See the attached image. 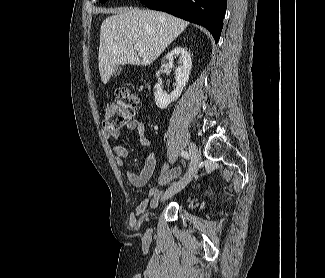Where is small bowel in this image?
Segmentation results:
<instances>
[{"label":"small bowel","mask_w":325,"mask_h":278,"mask_svg":"<svg viewBox=\"0 0 325 278\" xmlns=\"http://www.w3.org/2000/svg\"><path fill=\"white\" fill-rule=\"evenodd\" d=\"M123 129L125 131L131 132L136 131L139 136V142L142 146L148 147L152 143V138L146 134L145 125L144 123L137 118H133L127 124L124 125ZM121 136V130H113V131H106L105 137L111 140H118ZM111 151L114 155V161L117 166L123 167L125 162L129 159V151L126 147L120 144H113L111 147ZM156 168V156L154 153H150L144 163V166L140 173H136L131 169H127L126 175L129 183L134 187H142L150 180ZM182 173L181 167L176 168H169V164L166 161L161 169L159 176H158V183L160 185H165L170 182L173 178L180 176ZM150 198L145 199L140 207L139 210H143L148 205L154 206L158 199L161 196V191L157 188H153L150 190L149 193Z\"/></svg>","instance_id":"small-bowel-1"}]
</instances>
